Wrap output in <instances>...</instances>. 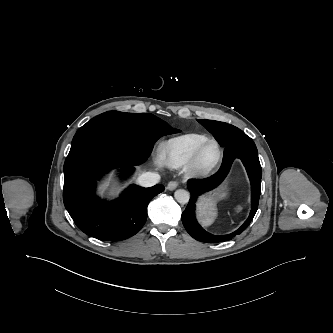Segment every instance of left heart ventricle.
<instances>
[{
    "instance_id": "obj_1",
    "label": "left heart ventricle",
    "mask_w": 333,
    "mask_h": 333,
    "mask_svg": "<svg viewBox=\"0 0 333 333\" xmlns=\"http://www.w3.org/2000/svg\"><path fill=\"white\" fill-rule=\"evenodd\" d=\"M216 157L217 150L213 145H210L204 150L201 161L203 164L208 165L212 163L216 159Z\"/></svg>"
}]
</instances>
